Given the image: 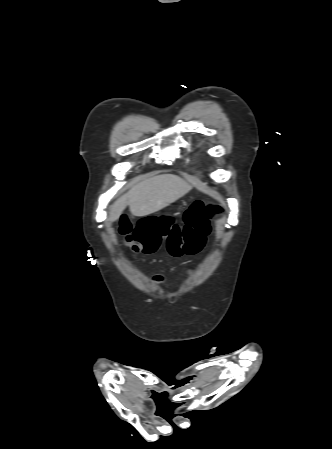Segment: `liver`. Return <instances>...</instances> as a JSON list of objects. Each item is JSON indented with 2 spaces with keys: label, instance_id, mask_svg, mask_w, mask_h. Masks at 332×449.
I'll return each instance as SVG.
<instances>
[{
  "label": "liver",
  "instance_id": "liver-1",
  "mask_svg": "<svg viewBox=\"0 0 332 449\" xmlns=\"http://www.w3.org/2000/svg\"><path fill=\"white\" fill-rule=\"evenodd\" d=\"M192 189L186 181L172 174L152 177L135 185L111 206L109 221L119 219L127 206L133 216L155 213L183 197Z\"/></svg>",
  "mask_w": 332,
  "mask_h": 449
}]
</instances>
